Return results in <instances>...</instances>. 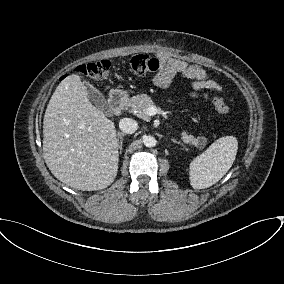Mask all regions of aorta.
Instances as JSON below:
<instances>
[{
	"instance_id": "762f6f07",
	"label": "aorta",
	"mask_w": 284,
	"mask_h": 284,
	"mask_svg": "<svg viewBox=\"0 0 284 284\" xmlns=\"http://www.w3.org/2000/svg\"><path fill=\"white\" fill-rule=\"evenodd\" d=\"M144 145L146 147H154L156 145V139L153 136H145L143 139Z\"/></svg>"
}]
</instances>
